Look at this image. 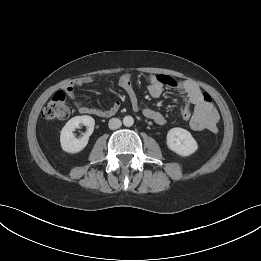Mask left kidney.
I'll return each mask as SVG.
<instances>
[{
  "label": "left kidney",
  "mask_w": 261,
  "mask_h": 261,
  "mask_svg": "<svg viewBox=\"0 0 261 261\" xmlns=\"http://www.w3.org/2000/svg\"><path fill=\"white\" fill-rule=\"evenodd\" d=\"M167 146L180 156H190L198 149L197 142L189 131L182 128H172L167 134Z\"/></svg>",
  "instance_id": "1"
}]
</instances>
